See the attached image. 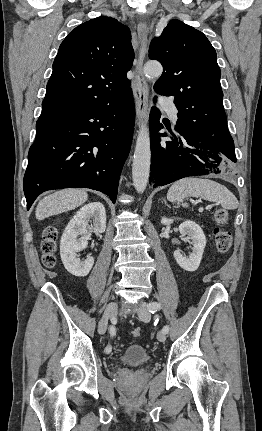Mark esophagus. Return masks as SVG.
Instances as JSON below:
<instances>
[{
    "label": "esophagus",
    "mask_w": 262,
    "mask_h": 431,
    "mask_svg": "<svg viewBox=\"0 0 262 431\" xmlns=\"http://www.w3.org/2000/svg\"><path fill=\"white\" fill-rule=\"evenodd\" d=\"M148 28L145 24H139L137 27L138 33V60L135 64L134 78L132 81V89L136 103L137 124L140 126L147 120L148 114V92L146 80L143 75V61L147 50Z\"/></svg>",
    "instance_id": "34e87169"
}]
</instances>
